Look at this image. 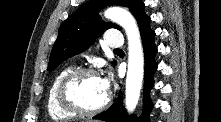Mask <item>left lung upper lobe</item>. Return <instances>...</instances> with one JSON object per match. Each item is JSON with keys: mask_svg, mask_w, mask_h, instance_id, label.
<instances>
[{"mask_svg": "<svg viewBox=\"0 0 221 122\" xmlns=\"http://www.w3.org/2000/svg\"><path fill=\"white\" fill-rule=\"evenodd\" d=\"M138 0H89L68 17L60 26L58 38L52 48L48 70L52 71L67 58L72 57L94 43L109 28L120 27L113 23H105L98 12L105 6L120 5L128 7L132 12ZM115 64V62H114Z\"/></svg>", "mask_w": 221, "mask_h": 122, "instance_id": "1", "label": "left lung upper lobe"}]
</instances>
